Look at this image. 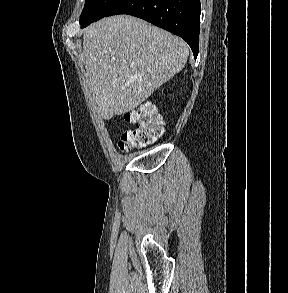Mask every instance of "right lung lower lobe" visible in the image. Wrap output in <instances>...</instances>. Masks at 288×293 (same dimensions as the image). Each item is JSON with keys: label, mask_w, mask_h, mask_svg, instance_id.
I'll use <instances>...</instances> for the list:
<instances>
[{"label": "right lung lower lobe", "mask_w": 288, "mask_h": 293, "mask_svg": "<svg viewBox=\"0 0 288 293\" xmlns=\"http://www.w3.org/2000/svg\"><path fill=\"white\" fill-rule=\"evenodd\" d=\"M200 0H122L106 16L129 14L182 37L196 58L199 50Z\"/></svg>", "instance_id": "obj_1"}]
</instances>
